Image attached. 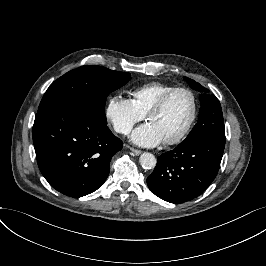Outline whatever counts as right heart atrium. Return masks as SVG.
<instances>
[{
  "label": "right heart atrium",
  "mask_w": 266,
  "mask_h": 266,
  "mask_svg": "<svg viewBox=\"0 0 266 266\" xmlns=\"http://www.w3.org/2000/svg\"><path fill=\"white\" fill-rule=\"evenodd\" d=\"M105 116L114 130L122 135L128 134L136 123L143 119L132 101L119 95L110 96L106 103Z\"/></svg>",
  "instance_id": "d8ad5b80"
}]
</instances>
